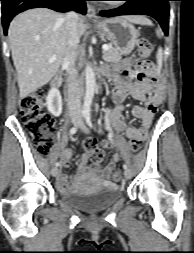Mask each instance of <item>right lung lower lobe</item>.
<instances>
[{
    "label": "right lung lower lobe",
    "mask_w": 194,
    "mask_h": 253,
    "mask_svg": "<svg viewBox=\"0 0 194 253\" xmlns=\"http://www.w3.org/2000/svg\"><path fill=\"white\" fill-rule=\"evenodd\" d=\"M2 1V24L4 33L12 18L18 13L31 8L45 7L58 12L75 10L81 14L86 13V0H0Z\"/></svg>",
    "instance_id": "1"
}]
</instances>
